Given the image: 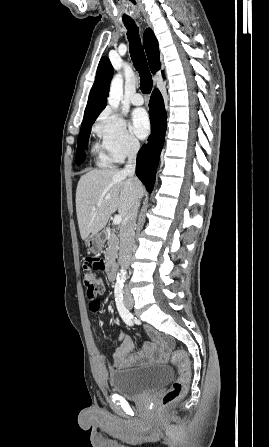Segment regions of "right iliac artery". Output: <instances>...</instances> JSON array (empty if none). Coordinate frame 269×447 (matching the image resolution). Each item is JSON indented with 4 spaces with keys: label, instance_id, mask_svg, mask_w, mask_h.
<instances>
[{
    "label": "right iliac artery",
    "instance_id": "82829eb1",
    "mask_svg": "<svg viewBox=\"0 0 269 447\" xmlns=\"http://www.w3.org/2000/svg\"><path fill=\"white\" fill-rule=\"evenodd\" d=\"M123 286V284L115 285L114 293L116 306L123 321L127 325H133V315L129 312V310L124 306L123 303Z\"/></svg>",
    "mask_w": 269,
    "mask_h": 447
}]
</instances>
